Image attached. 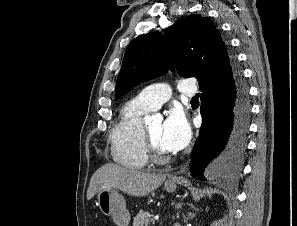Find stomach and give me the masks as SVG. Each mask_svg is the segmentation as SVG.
I'll list each match as a JSON object with an SVG mask.
<instances>
[{
	"label": "stomach",
	"mask_w": 297,
	"mask_h": 226,
	"mask_svg": "<svg viewBox=\"0 0 297 226\" xmlns=\"http://www.w3.org/2000/svg\"><path fill=\"white\" fill-rule=\"evenodd\" d=\"M164 188L167 192L172 193L176 190L177 184L173 181H166ZM97 199V205L103 214L112 216L118 226H128L130 213L126 208L124 197L116 189L100 191Z\"/></svg>",
	"instance_id": "stomach-1"
}]
</instances>
